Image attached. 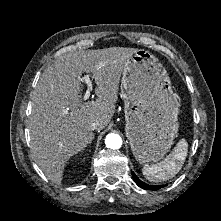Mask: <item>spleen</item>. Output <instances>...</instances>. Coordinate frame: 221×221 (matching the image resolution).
Masks as SVG:
<instances>
[{
	"label": "spleen",
	"instance_id": "3e777b00",
	"mask_svg": "<svg viewBox=\"0 0 221 221\" xmlns=\"http://www.w3.org/2000/svg\"><path fill=\"white\" fill-rule=\"evenodd\" d=\"M187 152L188 143L185 139H181L163 161L150 166L145 165L142 168V173L151 182L167 181L181 170Z\"/></svg>",
	"mask_w": 221,
	"mask_h": 221
}]
</instances>
